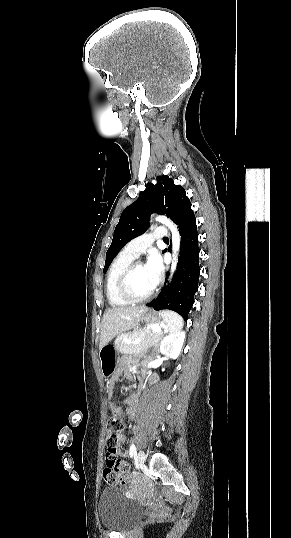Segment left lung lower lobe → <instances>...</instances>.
I'll return each mask as SVG.
<instances>
[{"instance_id":"1","label":"left lung lower lobe","mask_w":291,"mask_h":538,"mask_svg":"<svg viewBox=\"0 0 291 538\" xmlns=\"http://www.w3.org/2000/svg\"><path fill=\"white\" fill-rule=\"evenodd\" d=\"M177 225L181 235V249L176 273L170 286H165L158 297L147 306L155 310L176 311L187 320L194 303L200 275L198 233L194 212L191 210L187 213Z\"/></svg>"}]
</instances>
